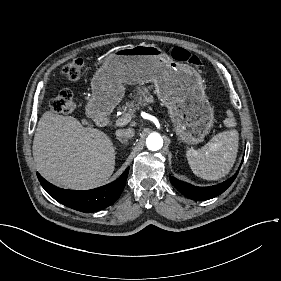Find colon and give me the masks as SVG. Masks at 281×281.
<instances>
[{
	"label": "colon",
	"instance_id": "1",
	"mask_svg": "<svg viewBox=\"0 0 281 281\" xmlns=\"http://www.w3.org/2000/svg\"><path fill=\"white\" fill-rule=\"evenodd\" d=\"M171 57L177 61L189 63L199 67L201 60L182 47H174L170 52ZM85 60L77 57L67 63L62 69L63 75L69 80H77L82 76ZM75 102L70 91H60L50 102V111L53 114H68L73 111Z\"/></svg>",
	"mask_w": 281,
	"mask_h": 281
}]
</instances>
